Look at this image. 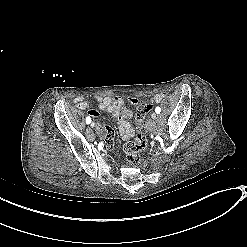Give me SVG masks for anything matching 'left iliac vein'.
Returning a JSON list of instances; mask_svg holds the SVG:
<instances>
[{"label":"left iliac vein","instance_id":"1","mask_svg":"<svg viewBox=\"0 0 247 247\" xmlns=\"http://www.w3.org/2000/svg\"><path fill=\"white\" fill-rule=\"evenodd\" d=\"M156 118H157L156 114L155 113H152V119L153 120H156Z\"/></svg>","mask_w":247,"mask_h":247}]
</instances>
